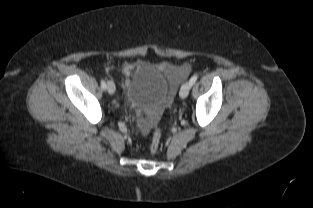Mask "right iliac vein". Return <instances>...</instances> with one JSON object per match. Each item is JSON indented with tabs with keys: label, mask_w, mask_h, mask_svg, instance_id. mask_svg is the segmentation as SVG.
<instances>
[{
	"label": "right iliac vein",
	"mask_w": 313,
	"mask_h": 208,
	"mask_svg": "<svg viewBox=\"0 0 313 208\" xmlns=\"http://www.w3.org/2000/svg\"><path fill=\"white\" fill-rule=\"evenodd\" d=\"M106 88H107V91H108L109 94H111V95L114 94V92H115V84L111 80H109L107 82Z\"/></svg>",
	"instance_id": "obj_1"
}]
</instances>
